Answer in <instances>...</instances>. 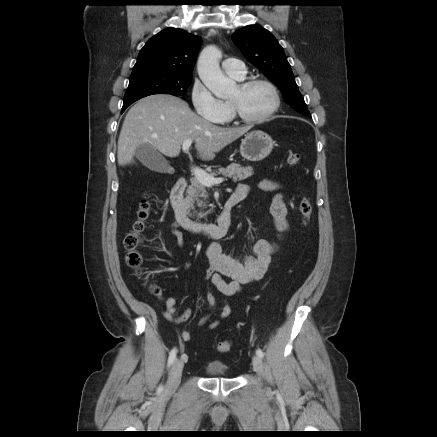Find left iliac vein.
I'll return each mask as SVG.
<instances>
[{
    "label": "left iliac vein",
    "instance_id": "left-iliac-vein-1",
    "mask_svg": "<svg viewBox=\"0 0 437 437\" xmlns=\"http://www.w3.org/2000/svg\"><path fill=\"white\" fill-rule=\"evenodd\" d=\"M252 364H253L254 371L257 372L259 375H261L263 372L262 359L259 356H253Z\"/></svg>",
    "mask_w": 437,
    "mask_h": 437
}]
</instances>
